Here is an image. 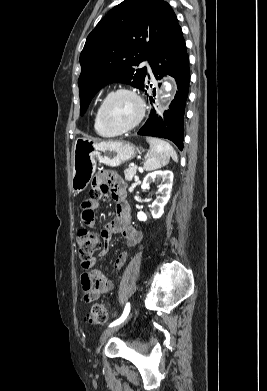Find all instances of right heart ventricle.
Wrapping results in <instances>:
<instances>
[{
    "label": "right heart ventricle",
    "instance_id": "right-heart-ventricle-1",
    "mask_svg": "<svg viewBox=\"0 0 267 391\" xmlns=\"http://www.w3.org/2000/svg\"><path fill=\"white\" fill-rule=\"evenodd\" d=\"M99 107L100 105L96 108L95 112H94V117H93V126H94V129L96 131V133L102 137H114L116 136L118 133L116 132H113L109 129H107L103 123L101 122L100 120V116H99Z\"/></svg>",
    "mask_w": 267,
    "mask_h": 391
}]
</instances>
